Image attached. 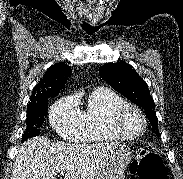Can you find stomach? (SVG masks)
<instances>
[{"label":"stomach","instance_id":"1","mask_svg":"<svg viewBox=\"0 0 183 179\" xmlns=\"http://www.w3.org/2000/svg\"><path fill=\"white\" fill-rule=\"evenodd\" d=\"M132 156L133 154L128 146L116 145L101 164L96 179H123Z\"/></svg>","mask_w":183,"mask_h":179}]
</instances>
